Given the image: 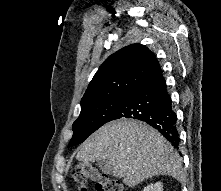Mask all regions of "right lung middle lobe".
I'll return each mask as SVG.
<instances>
[{
	"mask_svg": "<svg viewBox=\"0 0 221 191\" xmlns=\"http://www.w3.org/2000/svg\"><path fill=\"white\" fill-rule=\"evenodd\" d=\"M125 95L111 98L81 108L78 119L73 123V136L69 147L82 143L89 135L109 122Z\"/></svg>",
	"mask_w": 221,
	"mask_h": 191,
	"instance_id": "obj_1",
	"label": "right lung middle lobe"
}]
</instances>
